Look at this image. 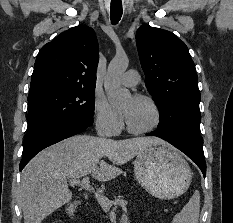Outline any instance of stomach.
I'll list each match as a JSON object with an SVG mask.
<instances>
[{
    "label": "stomach",
    "instance_id": "0dacf381",
    "mask_svg": "<svg viewBox=\"0 0 233 223\" xmlns=\"http://www.w3.org/2000/svg\"><path fill=\"white\" fill-rule=\"evenodd\" d=\"M133 163L141 187L159 199H174L191 183L192 171L187 161L165 141L142 149Z\"/></svg>",
    "mask_w": 233,
    "mask_h": 223
}]
</instances>
